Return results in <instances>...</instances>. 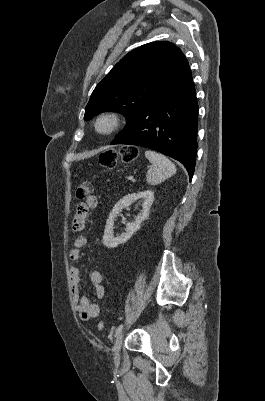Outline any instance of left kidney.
Returning <instances> with one entry per match:
<instances>
[{"instance_id":"5707ae66","label":"left kidney","mask_w":265,"mask_h":401,"mask_svg":"<svg viewBox=\"0 0 265 401\" xmlns=\"http://www.w3.org/2000/svg\"><path fill=\"white\" fill-rule=\"evenodd\" d=\"M138 198H143L142 211L137 215L135 221L133 223H126V233H122L119 237H114L113 233V225L116 217H118L120 211L125 209V207H129L132 205L134 201H138ZM154 201V192L152 190H142V192H132V194H126L123 198H120V201L116 203L115 207H113L111 213H109V217L106 221L105 233L103 237V245L107 247V249H114V247H118L121 243H126L138 229H140V225L142 221H145L149 215L150 207L153 205Z\"/></svg>"}]
</instances>
